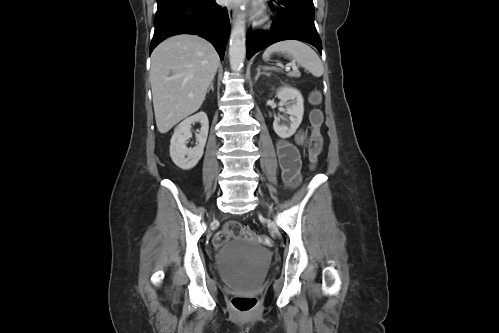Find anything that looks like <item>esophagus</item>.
I'll list each match as a JSON object with an SVG mask.
<instances>
[{
    "label": "esophagus",
    "instance_id": "obj_1",
    "mask_svg": "<svg viewBox=\"0 0 499 333\" xmlns=\"http://www.w3.org/2000/svg\"><path fill=\"white\" fill-rule=\"evenodd\" d=\"M228 15H229V20H230L231 24H233L235 22L236 16H237L236 8L233 6H230L228 8Z\"/></svg>",
    "mask_w": 499,
    "mask_h": 333
}]
</instances>
